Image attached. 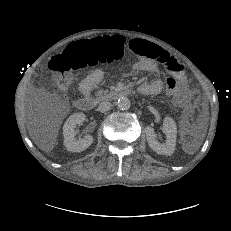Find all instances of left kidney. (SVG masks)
I'll list each match as a JSON object with an SVG mask.
<instances>
[{"label":"left kidney","instance_id":"obj_1","mask_svg":"<svg viewBox=\"0 0 231 231\" xmlns=\"http://www.w3.org/2000/svg\"><path fill=\"white\" fill-rule=\"evenodd\" d=\"M163 132L166 135L165 143H160L156 140L154 129L151 126L145 128L146 138L149 147L157 154L170 156L173 154L176 146L177 126L175 121L166 117L163 121Z\"/></svg>","mask_w":231,"mask_h":231}]
</instances>
